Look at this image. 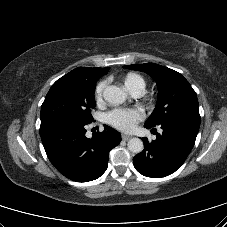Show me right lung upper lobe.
<instances>
[{"label": "right lung upper lobe", "instance_id": "right-lung-upper-lobe-1", "mask_svg": "<svg viewBox=\"0 0 227 227\" xmlns=\"http://www.w3.org/2000/svg\"><path fill=\"white\" fill-rule=\"evenodd\" d=\"M109 68H89V67H79L69 74H78V75H94V76H102L108 72Z\"/></svg>", "mask_w": 227, "mask_h": 227}]
</instances>
